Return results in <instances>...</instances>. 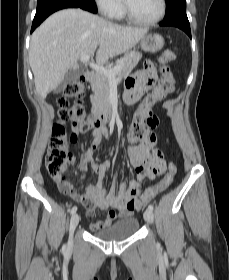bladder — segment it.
<instances>
[{
    "mask_svg": "<svg viewBox=\"0 0 229 280\" xmlns=\"http://www.w3.org/2000/svg\"><path fill=\"white\" fill-rule=\"evenodd\" d=\"M138 226L139 221L137 218H123L107 228L94 230L92 233L103 240L113 241L133 236L136 233Z\"/></svg>",
    "mask_w": 229,
    "mask_h": 280,
    "instance_id": "1",
    "label": "bladder"
}]
</instances>
